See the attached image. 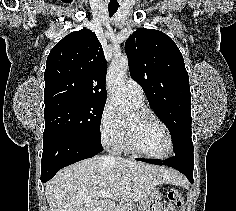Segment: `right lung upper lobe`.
Returning <instances> with one entry per match:
<instances>
[{"label": "right lung upper lobe", "instance_id": "1", "mask_svg": "<svg viewBox=\"0 0 236 211\" xmlns=\"http://www.w3.org/2000/svg\"><path fill=\"white\" fill-rule=\"evenodd\" d=\"M107 63L96 34L72 32L50 51L45 70V105L65 99L106 101Z\"/></svg>", "mask_w": 236, "mask_h": 211}]
</instances>
